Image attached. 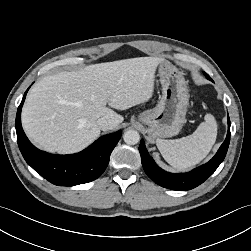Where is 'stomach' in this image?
Segmentation results:
<instances>
[{"label":"stomach","instance_id":"1","mask_svg":"<svg viewBox=\"0 0 251 251\" xmlns=\"http://www.w3.org/2000/svg\"><path fill=\"white\" fill-rule=\"evenodd\" d=\"M158 75L162 97L157 106L139 114L138 120L148 126L150 139L177 135L186 121L189 94L183 73L168 61L159 64Z\"/></svg>","mask_w":251,"mask_h":251}]
</instances>
